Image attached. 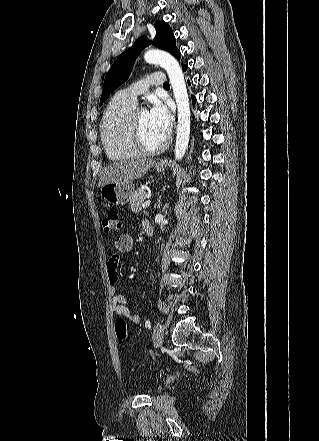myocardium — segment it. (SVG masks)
Returning a JSON list of instances; mask_svg holds the SVG:
<instances>
[{
  "mask_svg": "<svg viewBox=\"0 0 319 441\" xmlns=\"http://www.w3.org/2000/svg\"><path fill=\"white\" fill-rule=\"evenodd\" d=\"M139 111V109H134L130 117L129 137L132 146L139 154L144 155H154L164 151L169 144L168 138H165L159 145L155 147H149L144 143L138 119Z\"/></svg>",
  "mask_w": 319,
  "mask_h": 441,
  "instance_id": "f54148a6",
  "label": "myocardium"
}]
</instances>
